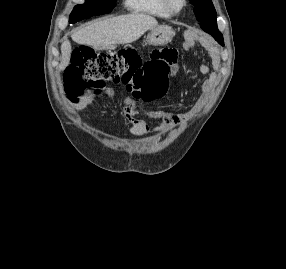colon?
I'll list each match as a JSON object with an SVG mask.
<instances>
[{
	"mask_svg": "<svg viewBox=\"0 0 286 269\" xmlns=\"http://www.w3.org/2000/svg\"><path fill=\"white\" fill-rule=\"evenodd\" d=\"M176 55L173 49L157 50L150 60L143 61L132 49L100 53L80 45L67 75L66 93L76 98L89 89L100 92L112 83L123 84L136 97L159 98L167 90L170 63Z\"/></svg>",
	"mask_w": 286,
	"mask_h": 269,
	"instance_id": "colon-1",
	"label": "colon"
}]
</instances>
